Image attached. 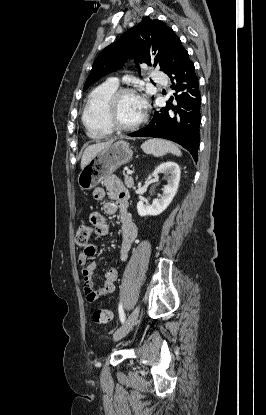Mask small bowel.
Segmentation results:
<instances>
[{
	"instance_id": "c3829d8e",
	"label": "small bowel",
	"mask_w": 266,
	"mask_h": 415,
	"mask_svg": "<svg viewBox=\"0 0 266 415\" xmlns=\"http://www.w3.org/2000/svg\"><path fill=\"white\" fill-rule=\"evenodd\" d=\"M108 195L113 201L106 202L103 205V211L107 215H119L122 229V245L120 249V259L125 261L131 245L135 241L138 230L132 220L131 214L128 212V190L117 176H109L106 178L104 186L98 187L93 191L95 200H103ZM90 223L95 232L100 236L108 234L109 229L105 216L100 212H92L90 214ZM97 246L88 244L78 254L77 262L83 266L82 276L84 283V293L86 300L93 303L97 299L112 293L115 290V283L119 278V271L116 268L108 269L104 275V284L100 288L94 287L93 274L97 268L96 262H89L88 259L95 256Z\"/></svg>"
}]
</instances>
